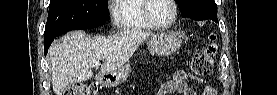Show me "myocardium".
<instances>
[{
    "label": "myocardium",
    "instance_id": "1",
    "mask_svg": "<svg viewBox=\"0 0 277 95\" xmlns=\"http://www.w3.org/2000/svg\"><path fill=\"white\" fill-rule=\"evenodd\" d=\"M172 6H173V15L171 17V19L166 22V23H158L157 21H155L152 16L150 15L149 9L151 6V3L153 2V0H147L145 7H144V16L146 18V20L150 23L151 26L155 27V28H168L170 26H172L177 18L178 15V9H177V5H176V1L175 0H168Z\"/></svg>",
    "mask_w": 277,
    "mask_h": 95
}]
</instances>
